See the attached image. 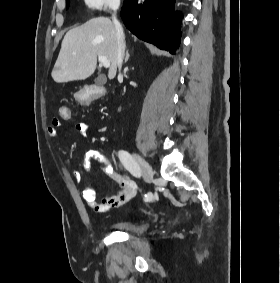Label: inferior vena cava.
I'll list each match as a JSON object with an SVG mask.
<instances>
[{
    "mask_svg": "<svg viewBox=\"0 0 280 283\" xmlns=\"http://www.w3.org/2000/svg\"><path fill=\"white\" fill-rule=\"evenodd\" d=\"M118 7L114 8V14L112 15L113 24L116 30V38H117V66L119 70H121L124 53H125V37L123 33V28L116 17V10Z\"/></svg>",
    "mask_w": 280,
    "mask_h": 283,
    "instance_id": "602c4592",
    "label": "inferior vena cava"
}]
</instances>
